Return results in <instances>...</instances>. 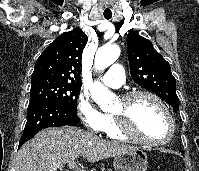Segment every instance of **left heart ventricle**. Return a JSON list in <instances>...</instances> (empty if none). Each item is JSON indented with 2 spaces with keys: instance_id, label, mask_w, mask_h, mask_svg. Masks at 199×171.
Segmentation results:
<instances>
[{
  "instance_id": "obj_1",
  "label": "left heart ventricle",
  "mask_w": 199,
  "mask_h": 171,
  "mask_svg": "<svg viewBox=\"0 0 199 171\" xmlns=\"http://www.w3.org/2000/svg\"><path fill=\"white\" fill-rule=\"evenodd\" d=\"M121 109L119 101L113 112ZM130 117L135 129L143 136L163 141L169 136L170 127L163 109L151 98L140 96L130 104Z\"/></svg>"
}]
</instances>
